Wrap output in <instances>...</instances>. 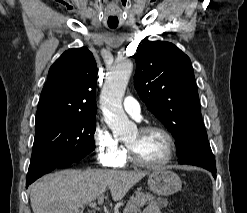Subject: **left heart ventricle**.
<instances>
[{
    "label": "left heart ventricle",
    "instance_id": "1",
    "mask_svg": "<svg viewBox=\"0 0 247 213\" xmlns=\"http://www.w3.org/2000/svg\"><path fill=\"white\" fill-rule=\"evenodd\" d=\"M126 144L133 148L141 160L149 163L160 162L167 152L166 139L158 131L140 133L136 130Z\"/></svg>",
    "mask_w": 247,
    "mask_h": 213
}]
</instances>
